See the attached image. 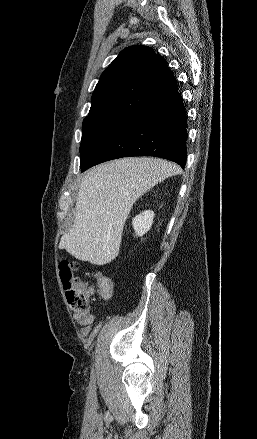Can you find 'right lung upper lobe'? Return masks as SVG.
Instances as JSON below:
<instances>
[{
  "label": "right lung upper lobe",
  "instance_id": "obj_1",
  "mask_svg": "<svg viewBox=\"0 0 257 439\" xmlns=\"http://www.w3.org/2000/svg\"><path fill=\"white\" fill-rule=\"evenodd\" d=\"M176 88V80L164 58L150 47L131 46L102 73L88 116L128 118Z\"/></svg>",
  "mask_w": 257,
  "mask_h": 439
}]
</instances>
